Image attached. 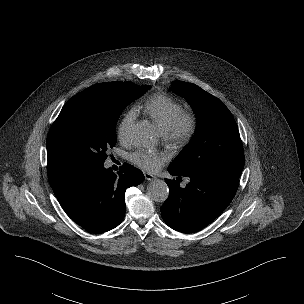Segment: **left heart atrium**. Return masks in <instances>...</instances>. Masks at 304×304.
<instances>
[{"instance_id":"left-heart-atrium-1","label":"left heart atrium","mask_w":304,"mask_h":304,"mask_svg":"<svg viewBox=\"0 0 304 304\" xmlns=\"http://www.w3.org/2000/svg\"><path fill=\"white\" fill-rule=\"evenodd\" d=\"M169 158L167 152L138 150L130 155V161L147 171L157 170Z\"/></svg>"}]
</instances>
